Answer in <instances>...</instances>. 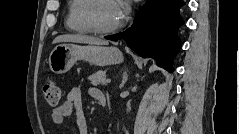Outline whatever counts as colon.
<instances>
[{
	"label": "colon",
	"instance_id": "1",
	"mask_svg": "<svg viewBox=\"0 0 239 134\" xmlns=\"http://www.w3.org/2000/svg\"><path fill=\"white\" fill-rule=\"evenodd\" d=\"M43 94L46 102L51 106H56L60 101V88L53 81L44 84Z\"/></svg>",
	"mask_w": 239,
	"mask_h": 134
}]
</instances>
